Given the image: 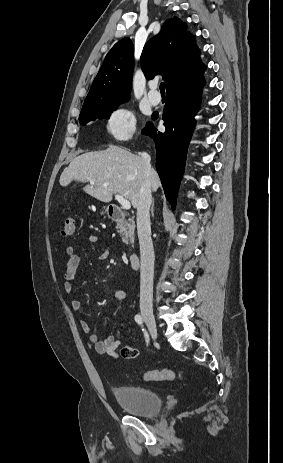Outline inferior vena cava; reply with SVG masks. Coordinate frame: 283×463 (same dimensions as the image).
Returning a JSON list of instances; mask_svg holds the SVG:
<instances>
[{
    "label": "inferior vena cava",
    "instance_id": "602c4592",
    "mask_svg": "<svg viewBox=\"0 0 283 463\" xmlns=\"http://www.w3.org/2000/svg\"><path fill=\"white\" fill-rule=\"evenodd\" d=\"M148 170L151 169L150 156L143 152L140 154ZM152 192L148 181L142 185L137 205V231L140 244V309L152 311L153 302V276H154V249L151 239L150 205Z\"/></svg>",
    "mask_w": 283,
    "mask_h": 463
}]
</instances>
